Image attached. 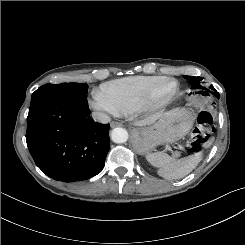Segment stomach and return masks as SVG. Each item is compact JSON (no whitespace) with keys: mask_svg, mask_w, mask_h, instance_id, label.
Segmentation results:
<instances>
[{"mask_svg":"<svg viewBox=\"0 0 245 245\" xmlns=\"http://www.w3.org/2000/svg\"><path fill=\"white\" fill-rule=\"evenodd\" d=\"M194 124L191 112L176 108L164 113L152 126L133 129V146L144 154L159 145L170 144L186 136Z\"/></svg>","mask_w":245,"mask_h":245,"instance_id":"1","label":"stomach"}]
</instances>
